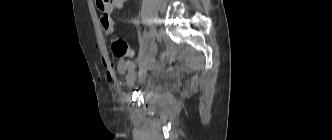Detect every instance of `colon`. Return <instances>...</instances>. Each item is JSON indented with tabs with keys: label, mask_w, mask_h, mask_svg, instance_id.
I'll return each mask as SVG.
<instances>
[{
	"label": "colon",
	"mask_w": 332,
	"mask_h": 140,
	"mask_svg": "<svg viewBox=\"0 0 332 140\" xmlns=\"http://www.w3.org/2000/svg\"><path fill=\"white\" fill-rule=\"evenodd\" d=\"M125 0H96L97 7L103 11L100 16V24L106 34H111L114 31L115 23L112 17L105 10L107 8H117L122 5ZM111 50L116 57L125 58L131 55L129 45L121 38L114 37L111 41Z\"/></svg>",
	"instance_id": "5ec220e1"
}]
</instances>
